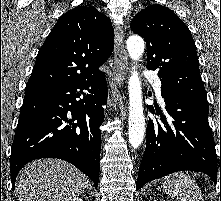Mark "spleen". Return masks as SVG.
Returning <instances> with one entry per match:
<instances>
[{
	"label": "spleen",
	"instance_id": "1",
	"mask_svg": "<svg viewBox=\"0 0 221 201\" xmlns=\"http://www.w3.org/2000/svg\"><path fill=\"white\" fill-rule=\"evenodd\" d=\"M163 189L179 201H203L198 184L184 172L173 173L165 177Z\"/></svg>",
	"mask_w": 221,
	"mask_h": 201
}]
</instances>
